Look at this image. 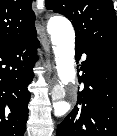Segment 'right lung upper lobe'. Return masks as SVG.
<instances>
[{
    "instance_id": "obj_1",
    "label": "right lung upper lobe",
    "mask_w": 117,
    "mask_h": 136,
    "mask_svg": "<svg viewBox=\"0 0 117 136\" xmlns=\"http://www.w3.org/2000/svg\"><path fill=\"white\" fill-rule=\"evenodd\" d=\"M32 0H0V47L35 31Z\"/></svg>"
}]
</instances>
